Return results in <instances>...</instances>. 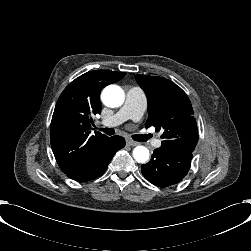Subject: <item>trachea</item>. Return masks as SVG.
<instances>
[{"instance_id":"obj_1","label":"trachea","mask_w":251,"mask_h":251,"mask_svg":"<svg viewBox=\"0 0 251 251\" xmlns=\"http://www.w3.org/2000/svg\"><path fill=\"white\" fill-rule=\"evenodd\" d=\"M100 131H103L107 135H113L115 130L113 128H100ZM152 137V134L148 135H132V138L139 142H146L148 139Z\"/></svg>"}]
</instances>
